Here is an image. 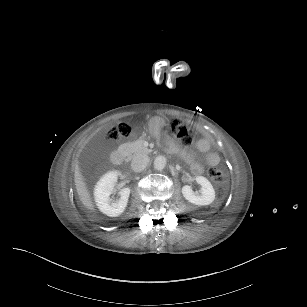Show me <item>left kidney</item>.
Instances as JSON below:
<instances>
[{
	"label": "left kidney",
	"mask_w": 307,
	"mask_h": 307,
	"mask_svg": "<svg viewBox=\"0 0 307 307\" xmlns=\"http://www.w3.org/2000/svg\"><path fill=\"white\" fill-rule=\"evenodd\" d=\"M195 181L201 186L198 193L194 192L189 185L182 187V194L189 202L204 206L215 200V190L210 181L204 176H196Z\"/></svg>",
	"instance_id": "left-kidney-1"
}]
</instances>
